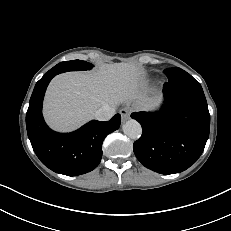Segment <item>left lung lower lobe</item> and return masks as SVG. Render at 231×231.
<instances>
[{
	"mask_svg": "<svg viewBox=\"0 0 231 231\" xmlns=\"http://www.w3.org/2000/svg\"><path fill=\"white\" fill-rule=\"evenodd\" d=\"M165 104L158 112H134L143 128L134 142L137 159L161 174L179 173L193 165L209 137L210 114L200 83L180 68L165 72Z\"/></svg>",
	"mask_w": 231,
	"mask_h": 231,
	"instance_id": "left-lung-lower-lobe-1",
	"label": "left lung lower lobe"
}]
</instances>
